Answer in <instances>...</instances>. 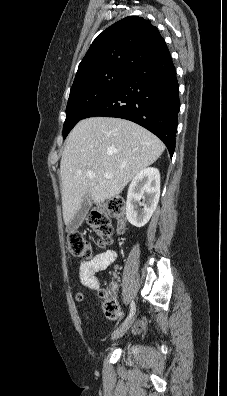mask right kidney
<instances>
[{"instance_id":"right-kidney-1","label":"right kidney","mask_w":227,"mask_h":396,"mask_svg":"<svg viewBox=\"0 0 227 396\" xmlns=\"http://www.w3.org/2000/svg\"><path fill=\"white\" fill-rule=\"evenodd\" d=\"M160 197V173L144 168L131 181L127 193L126 217L136 227H143L155 211ZM143 199V202H141Z\"/></svg>"}]
</instances>
